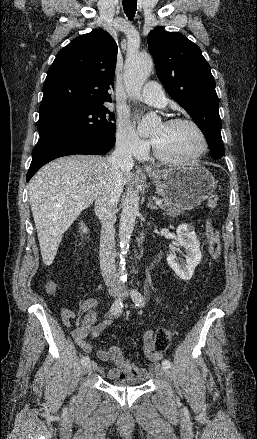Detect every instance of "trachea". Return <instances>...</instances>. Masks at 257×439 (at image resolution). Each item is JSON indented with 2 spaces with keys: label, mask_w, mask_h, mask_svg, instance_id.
Listing matches in <instances>:
<instances>
[{
  "label": "trachea",
  "mask_w": 257,
  "mask_h": 439,
  "mask_svg": "<svg viewBox=\"0 0 257 439\" xmlns=\"http://www.w3.org/2000/svg\"><path fill=\"white\" fill-rule=\"evenodd\" d=\"M137 0H123V9L126 16L131 20L135 16Z\"/></svg>",
  "instance_id": "obj_1"
}]
</instances>
